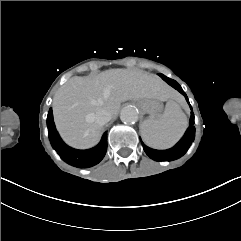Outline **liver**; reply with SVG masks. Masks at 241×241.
<instances>
[{"mask_svg":"<svg viewBox=\"0 0 241 241\" xmlns=\"http://www.w3.org/2000/svg\"><path fill=\"white\" fill-rule=\"evenodd\" d=\"M176 94L156 75L141 71L113 69L97 76L70 78L55 93L54 116L63 138L71 145L94 144L101 125L86 121L89 113L105 109L114 118L123 102L137 99L171 101Z\"/></svg>","mask_w":241,"mask_h":241,"instance_id":"6515ba94","label":"liver"}]
</instances>
